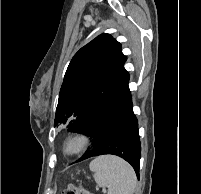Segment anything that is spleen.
<instances>
[{
	"label": "spleen",
	"mask_w": 201,
	"mask_h": 194,
	"mask_svg": "<svg viewBox=\"0 0 201 194\" xmlns=\"http://www.w3.org/2000/svg\"><path fill=\"white\" fill-rule=\"evenodd\" d=\"M90 171L100 187H107L108 194H133L136 175L129 163L114 155H102L91 161Z\"/></svg>",
	"instance_id": "1"
}]
</instances>
